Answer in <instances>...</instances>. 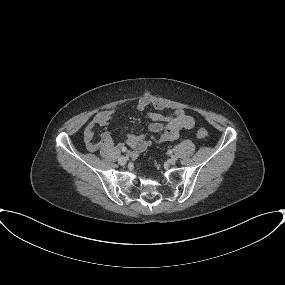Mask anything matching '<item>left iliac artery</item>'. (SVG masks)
<instances>
[{
    "instance_id": "44dca946",
    "label": "left iliac artery",
    "mask_w": 285,
    "mask_h": 285,
    "mask_svg": "<svg viewBox=\"0 0 285 285\" xmlns=\"http://www.w3.org/2000/svg\"><path fill=\"white\" fill-rule=\"evenodd\" d=\"M168 153H169V154H172V150H169Z\"/></svg>"
}]
</instances>
